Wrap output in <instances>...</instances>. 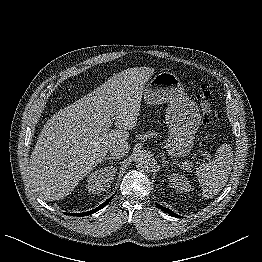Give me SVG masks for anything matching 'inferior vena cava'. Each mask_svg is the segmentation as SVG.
<instances>
[{
  "mask_svg": "<svg viewBox=\"0 0 262 262\" xmlns=\"http://www.w3.org/2000/svg\"><path fill=\"white\" fill-rule=\"evenodd\" d=\"M130 150V144L127 141H120L110 147V154L116 158L124 157Z\"/></svg>",
  "mask_w": 262,
  "mask_h": 262,
  "instance_id": "1",
  "label": "inferior vena cava"
}]
</instances>
